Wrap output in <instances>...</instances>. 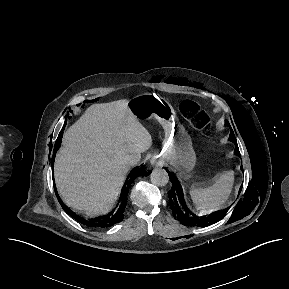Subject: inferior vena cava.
Returning a JSON list of instances; mask_svg holds the SVG:
<instances>
[{"mask_svg": "<svg viewBox=\"0 0 289 289\" xmlns=\"http://www.w3.org/2000/svg\"><path fill=\"white\" fill-rule=\"evenodd\" d=\"M138 163V161L136 159H131L129 162H128V165L129 166H134Z\"/></svg>", "mask_w": 289, "mask_h": 289, "instance_id": "1", "label": "inferior vena cava"}]
</instances>
